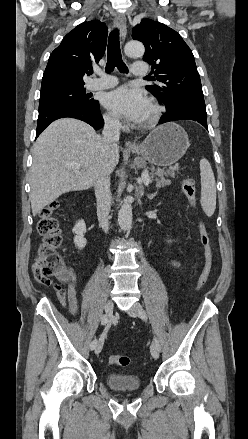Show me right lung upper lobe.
<instances>
[{
  "mask_svg": "<svg viewBox=\"0 0 248 439\" xmlns=\"http://www.w3.org/2000/svg\"><path fill=\"white\" fill-rule=\"evenodd\" d=\"M106 42L104 23L92 20L76 26L50 55L41 96L84 86L83 76L103 57Z\"/></svg>",
  "mask_w": 248,
  "mask_h": 439,
  "instance_id": "cb5924a9",
  "label": "right lung upper lobe"
}]
</instances>
